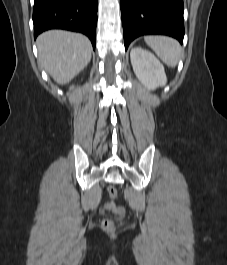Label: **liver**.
I'll return each instance as SVG.
<instances>
[{
	"instance_id": "6515ba94",
	"label": "liver",
	"mask_w": 227,
	"mask_h": 265,
	"mask_svg": "<svg viewBox=\"0 0 227 265\" xmlns=\"http://www.w3.org/2000/svg\"><path fill=\"white\" fill-rule=\"evenodd\" d=\"M39 60L60 85L69 83L91 60L92 45L79 33L50 30L37 39Z\"/></svg>"
}]
</instances>
